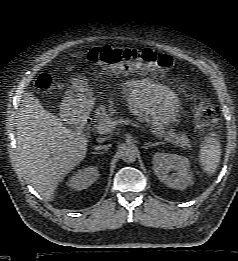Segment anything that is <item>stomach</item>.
Wrapping results in <instances>:
<instances>
[{"label":"stomach","instance_id":"0dacf381","mask_svg":"<svg viewBox=\"0 0 238 261\" xmlns=\"http://www.w3.org/2000/svg\"><path fill=\"white\" fill-rule=\"evenodd\" d=\"M72 88L66 95L63 106L73 115H84L94 106V97L84 78H72Z\"/></svg>","mask_w":238,"mask_h":261}]
</instances>
